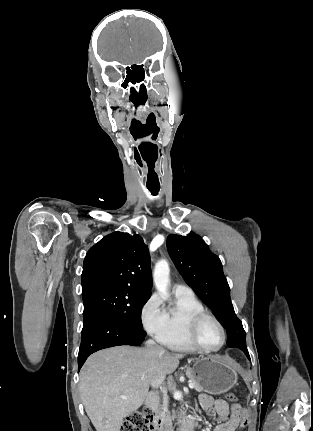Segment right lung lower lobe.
Wrapping results in <instances>:
<instances>
[{
	"mask_svg": "<svg viewBox=\"0 0 313 431\" xmlns=\"http://www.w3.org/2000/svg\"><path fill=\"white\" fill-rule=\"evenodd\" d=\"M145 336V331H139L111 316L92 317L83 324L78 370L90 354L113 346H138L143 342Z\"/></svg>",
	"mask_w": 313,
	"mask_h": 431,
	"instance_id": "obj_1",
	"label": "right lung lower lobe"
}]
</instances>
